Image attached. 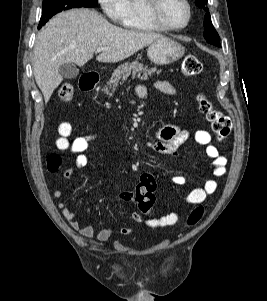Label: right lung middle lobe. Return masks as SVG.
I'll return each instance as SVG.
<instances>
[{"instance_id": "dd1d6c3e", "label": "right lung middle lobe", "mask_w": 267, "mask_h": 301, "mask_svg": "<svg viewBox=\"0 0 267 301\" xmlns=\"http://www.w3.org/2000/svg\"><path fill=\"white\" fill-rule=\"evenodd\" d=\"M98 5L97 0H43L39 28L55 14L72 8H91Z\"/></svg>"}]
</instances>
